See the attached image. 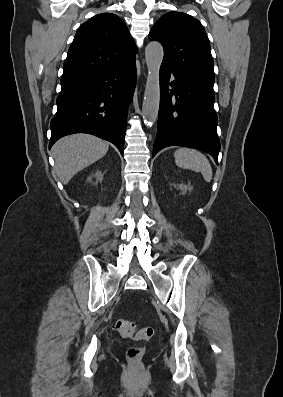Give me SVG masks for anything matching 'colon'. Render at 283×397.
<instances>
[{
  "mask_svg": "<svg viewBox=\"0 0 283 397\" xmlns=\"http://www.w3.org/2000/svg\"><path fill=\"white\" fill-rule=\"evenodd\" d=\"M115 329L127 338H134L147 341L153 335V330L150 327H140L136 322L127 319H118L115 322ZM145 354L144 347H130L127 351V358L130 363L138 365Z\"/></svg>",
  "mask_w": 283,
  "mask_h": 397,
  "instance_id": "colon-1",
  "label": "colon"
}]
</instances>
